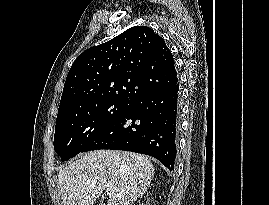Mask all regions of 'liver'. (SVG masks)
Instances as JSON below:
<instances>
[{"label": "liver", "instance_id": "6515ba94", "mask_svg": "<svg viewBox=\"0 0 269 205\" xmlns=\"http://www.w3.org/2000/svg\"><path fill=\"white\" fill-rule=\"evenodd\" d=\"M154 166L148 158L127 151L95 150L60 169L58 183L64 205H93L111 189L107 205H129L150 187Z\"/></svg>", "mask_w": 269, "mask_h": 205}]
</instances>
